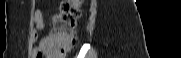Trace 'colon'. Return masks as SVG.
<instances>
[{"label":"colon","mask_w":181,"mask_h":58,"mask_svg":"<svg viewBox=\"0 0 181 58\" xmlns=\"http://www.w3.org/2000/svg\"><path fill=\"white\" fill-rule=\"evenodd\" d=\"M82 0H66L53 17V31L48 37V50L57 55L67 54L77 42V22L81 16ZM36 58H42L38 54Z\"/></svg>","instance_id":"5ec220e1"}]
</instances>
